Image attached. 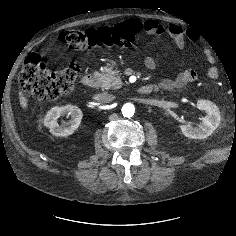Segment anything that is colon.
<instances>
[{"label": "colon", "instance_id": "1", "mask_svg": "<svg viewBox=\"0 0 236 236\" xmlns=\"http://www.w3.org/2000/svg\"><path fill=\"white\" fill-rule=\"evenodd\" d=\"M141 29L142 24L131 19L108 27L65 31L59 35V40L71 49L87 52L102 47L125 48L135 42ZM79 71L80 67L76 63L62 69L50 70L40 55L32 52L23 63L18 80L36 98L54 100L72 91Z\"/></svg>", "mask_w": 236, "mask_h": 236}]
</instances>
